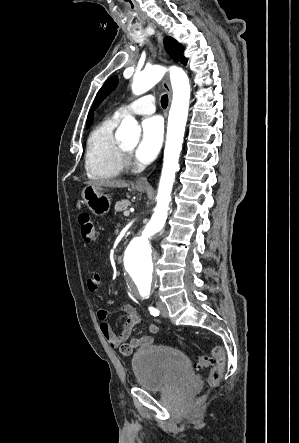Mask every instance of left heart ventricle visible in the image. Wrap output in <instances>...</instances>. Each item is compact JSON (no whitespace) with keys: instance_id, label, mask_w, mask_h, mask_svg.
<instances>
[{"instance_id":"1","label":"left heart ventricle","mask_w":299,"mask_h":443,"mask_svg":"<svg viewBox=\"0 0 299 443\" xmlns=\"http://www.w3.org/2000/svg\"><path fill=\"white\" fill-rule=\"evenodd\" d=\"M135 146H136L135 143H134V144H127V145H124V147H125L127 150H129V151H133V150L135 149Z\"/></svg>"}]
</instances>
